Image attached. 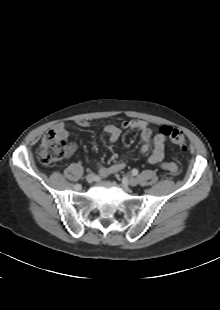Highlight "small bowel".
<instances>
[{"label": "small bowel", "instance_id": "small-bowel-1", "mask_svg": "<svg viewBox=\"0 0 220 310\" xmlns=\"http://www.w3.org/2000/svg\"><path fill=\"white\" fill-rule=\"evenodd\" d=\"M76 124L80 127L87 128L91 124L84 119L76 120ZM54 130L57 131L63 139H67L71 133L67 129L64 123H58L55 125ZM122 130H136L140 134L141 146L139 148L140 154H147L151 151L147 162L152 165H158L162 170L169 172L170 174H177L179 167L174 162H163L165 155V144L167 137L160 133H155L154 128L144 120L132 119L121 122L120 125L109 124L104 128L110 143H115L121 136ZM77 149L75 143H69L67 145V155L71 156ZM125 166L122 160H117L109 165H100L99 174L101 177H107L111 174L119 172Z\"/></svg>", "mask_w": 220, "mask_h": 310}]
</instances>
